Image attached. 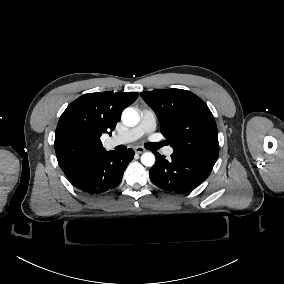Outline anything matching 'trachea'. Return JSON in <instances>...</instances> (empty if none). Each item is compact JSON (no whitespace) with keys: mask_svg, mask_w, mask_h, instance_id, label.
Wrapping results in <instances>:
<instances>
[{"mask_svg":"<svg viewBox=\"0 0 284 284\" xmlns=\"http://www.w3.org/2000/svg\"><path fill=\"white\" fill-rule=\"evenodd\" d=\"M164 145H168V142L162 141V142H159V143H149V144H147V148L149 150H158L160 147H162Z\"/></svg>","mask_w":284,"mask_h":284,"instance_id":"3493384b","label":"trachea"}]
</instances>
